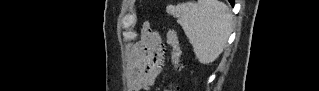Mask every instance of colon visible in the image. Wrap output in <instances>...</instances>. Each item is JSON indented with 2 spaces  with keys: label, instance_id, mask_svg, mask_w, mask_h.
Here are the masks:
<instances>
[{
  "label": "colon",
  "instance_id": "obj_1",
  "mask_svg": "<svg viewBox=\"0 0 319 91\" xmlns=\"http://www.w3.org/2000/svg\"><path fill=\"white\" fill-rule=\"evenodd\" d=\"M167 42L172 48L171 52V71L175 72L179 69L180 62V46H179V38L177 32L170 28L167 33ZM155 60V52L154 51H148L145 56L143 57L142 64L146 67H150L153 65ZM167 91H173L174 86L170 84L167 88Z\"/></svg>",
  "mask_w": 319,
  "mask_h": 91
}]
</instances>
